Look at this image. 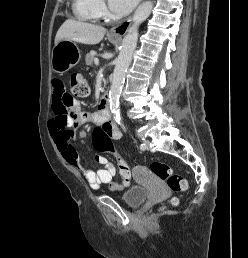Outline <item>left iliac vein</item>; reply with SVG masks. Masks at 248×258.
<instances>
[{
    "instance_id": "left-iliac-vein-1",
    "label": "left iliac vein",
    "mask_w": 248,
    "mask_h": 258,
    "mask_svg": "<svg viewBox=\"0 0 248 258\" xmlns=\"http://www.w3.org/2000/svg\"><path fill=\"white\" fill-rule=\"evenodd\" d=\"M144 144H145L144 150H148L149 149V145H150L149 140H144Z\"/></svg>"
}]
</instances>
